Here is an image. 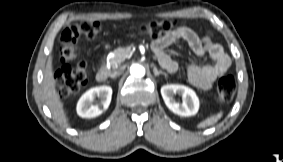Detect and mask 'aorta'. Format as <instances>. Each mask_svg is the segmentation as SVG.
Segmentation results:
<instances>
[{
    "mask_svg": "<svg viewBox=\"0 0 283 162\" xmlns=\"http://www.w3.org/2000/svg\"><path fill=\"white\" fill-rule=\"evenodd\" d=\"M130 73L134 77L141 78L145 75V68L140 64H133L130 67Z\"/></svg>",
    "mask_w": 283,
    "mask_h": 162,
    "instance_id": "obj_1",
    "label": "aorta"
}]
</instances>
